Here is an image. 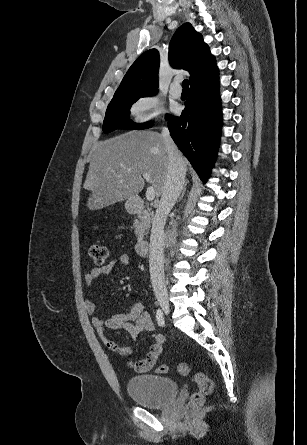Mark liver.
I'll use <instances>...</instances> for the list:
<instances>
[{"label": "liver", "instance_id": "liver-1", "mask_svg": "<svg viewBox=\"0 0 307 445\" xmlns=\"http://www.w3.org/2000/svg\"><path fill=\"white\" fill-rule=\"evenodd\" d=\"M167 164L163 136L153 130H129L96 142L83 184L91 190L86 200L89 210L139 194L145 184L143 172L150 174L155 194L161 196Z\"/></svg>", "mask_w": 307, "mask_h": 445}]
</instances>
